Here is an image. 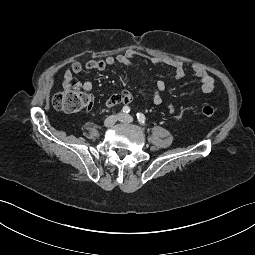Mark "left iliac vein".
Here are the masks:
<instances>
[{"label":"left iliac vein","instance_id":"1","mask_svg":"<svg viewBox=\"0 0 255 255\" xmlns=\"http://www.w3.org/2000/svg\"><path fill=\"white\" fill-rule=\"evenodd\" d=\"M119 121L124 122V123H131V122H133V117L131 115L122 114Z\"/></svg>","mask_w":255,"mask_h":255}]
</instances>
